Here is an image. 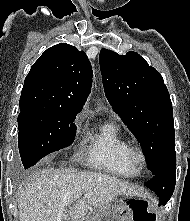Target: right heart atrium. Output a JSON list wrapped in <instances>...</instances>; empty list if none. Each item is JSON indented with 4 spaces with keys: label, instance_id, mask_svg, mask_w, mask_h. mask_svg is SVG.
Instances as JSON below:
<instances>
[{
    "label": "right heart atrium",
    "instance_id": "obj_1",
    "mask_svg": "<svg viewBox=\"0 0 190 221\" xmlns=\"http://www.w3.org/2000/svg\"><path fill=\"white\" fill-rule=\"evenodd\" d=\"M84 144H85V142H84V140H82L81 142H80V147H79V150H78V152H77V157H80L81 155H82V152H83V148H84Z\"/></svg>",
    "mask_w": 190,
    "mask_h": 221
}]
</instances>
